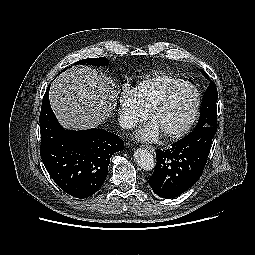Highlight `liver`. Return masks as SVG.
<instances>
[{
	"label": "liver",
	"instance_id": "1",
	"mask_svg": "<svg viewBox=\"0 0 255 255\" xmlns=\"http://www.w3.org/2000/svg\"><path fill=\"white\" fill-rule=\"evenodd\" d=\"M49 97L64 127L87 130L99 126L111 115L117 90L110 77L79 66L66 70L54 80Z\"/></svg>",
	"mask_w": 255,
	"mask_h": 255
}]
</instances>
